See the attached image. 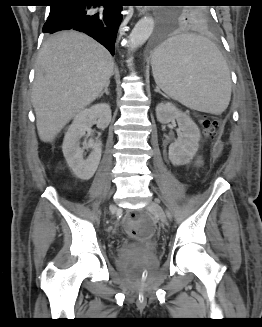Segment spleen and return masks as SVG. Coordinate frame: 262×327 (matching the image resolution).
<instances>
[{
  "label": "spleen",
  "instance_id": "obj_1",
  "mask_svg": "<svg viewBox=\"0 0 262 327\" xmlns=\"http://www.w3.org/2000/svg\"><path fill=\"white\" fill-rule=\"evenodd\" d=\"M156 84L172 99L191 109L221 114L231 98L230 71L209 39L180 34L167 39L151 60Z\"/></svg>",
  "mask_w": 262,
  "mask_h": 327
}]
</instances>
